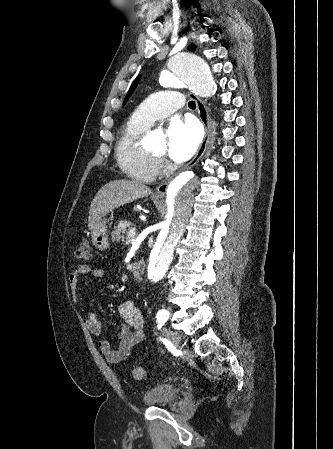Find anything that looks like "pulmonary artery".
<instances>
[{"instance_id":"pulmonary-artery-1","label":"pulmonary artery","mask_w":333,"mask_h":449,"mask_svg":"<svg viewBox=\"0 0 333 449\" xmlns=\"http://www.w3.org/2000/svg\"><path fill=\"white\" fill-rule=\"evenodd\" d=\"M184 105L183 96L178 91L165 90L150 95L134 113V118L150 127L156 120L167 116Z\"/></svg>"}]
</instances>
